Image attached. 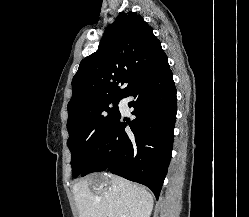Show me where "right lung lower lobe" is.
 I'll use <instances>...</instances> for the list:
<instances>
[{
	"instance_id": "right-lung-lower-lobe-1",
	"label": "right lung lower lobe",
	"mask_w": 249,
	"mask_h": 217,
	"mask_svg": "<svg viewBox=\"0 0 249 217\" xmlns=\"http://www.w3.org/2000/svg\"><path fill=\"white\" fill-rule=\"evenodd\" d=\"M129 96L134 97L129 107H134L136 118L130 122L119 116L80 176L109 170L146 185L158 199L171 159L177 111L176 88L165 53L124 97ZM126 126L131 132L125 131Z\"/></svg>"
}]
</instances>
